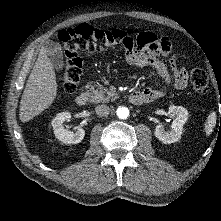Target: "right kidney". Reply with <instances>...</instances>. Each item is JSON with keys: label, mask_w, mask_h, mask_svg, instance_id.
Here are the masks:
<instances>
[{"label": "right kidney", "mask_w": 221, "mask_h": 221, "mask_svg": "<svg viewBox=\"0 0 221 221\" xmlns=\"http://www.w3.org/2000/svg\"><path fill=\"white\" fill-rule=\"evenodd\" d=\"M71 118V113L61 112L58 113L51 122L55 137L64 144H77L80 143L84 136L85 131L82 128H78L76 132H71L63 127V122Z\"/></svg>", "instance_id": "ca27d5eb"}]
</instances>
